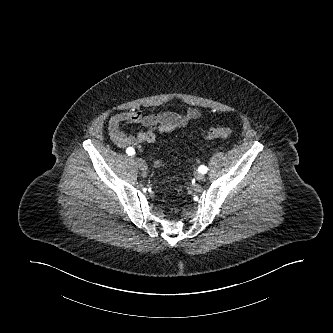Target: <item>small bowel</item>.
Listing matches in <instances>:
<instances>
[{"label": "small bowel", "mask_w": 333, "mask_h": 333, "mask_svg": "<svg viewBox=\"0 0 333 333\" xmlns=\"http://www.w3.org/2000/svg\"><path fill=\"white\" fill-rule=\"evenodd\" d=\"M200 113L188 110L183 114L160 111L143 114L138 110H125L114 114L108 123V133L112 142L119 148L140 147L153 144L157 133H169L185 127L191 120L197 119ZM140 124L147 128L135 134H127L122 130L124 125Z\"/></svg>", "instance_id": "1"}]
</instances>
